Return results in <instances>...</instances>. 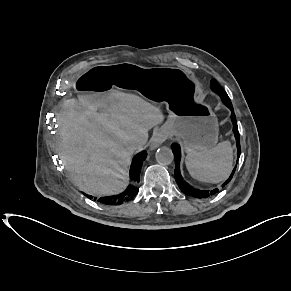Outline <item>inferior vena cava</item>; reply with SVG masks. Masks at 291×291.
<instances>
[{
  "instance_id": "602c4592",
  "label": "inferior vena cava",
  "mask_w": 291,
  "mask_h": 291,
  "mask_svg": "<svg viewBox=\"0 0 291 291\" xmlns=\"http://www.w3.org/2000/svg\"><path fill=\"white\" fill-rule=\"evenodd\" d=\"M140 148V144L138 142H132L130 145V149L137 150Z\"/></svg>"
}]
</instances>
